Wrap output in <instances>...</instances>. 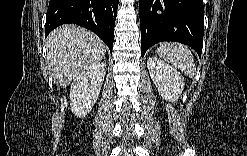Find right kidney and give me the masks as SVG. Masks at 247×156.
I'll return each mask as SVG.
<instances>
[{
    "mask_svg": "<svg viewBox=\"0 0 247 156\" xmlns=\"http://www.w3.org/2000/svg\"><path fill=\"white\" fill-rule=\"evenodd\" d=\"M105 74V63H97L82 71L73 80L70 89V107L75 116L84 118L89 114L98 99Z\"/></svg>",
    "mask_w": 247,
    "mask_h": 156,
    "instance_id": "ca27d5eb",
    "label": "right kidney"
}]
</instances>
